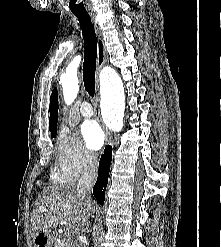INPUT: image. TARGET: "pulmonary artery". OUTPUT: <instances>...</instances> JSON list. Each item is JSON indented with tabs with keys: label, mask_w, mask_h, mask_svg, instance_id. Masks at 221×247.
I'll use <instances>...</instances> for the list:
<instances>
[{
	"label": "pulmonary artery",
	"mask_w": 221,
	"mask_h": 247,
	"mask_svg": "<svg viewBox=\"0 0 221 247\" xmlns=\"http://www.w3.org/2000/svg\"><path fill=\"white\" fill-rule=\"evenodd\" d=\"M80 112L84 117H91L94 113V110L92 109L89 102L84 101L80 107Z\"/></svg>",
	"instance_id": "e3ab8cb5"
}]
</instances>
